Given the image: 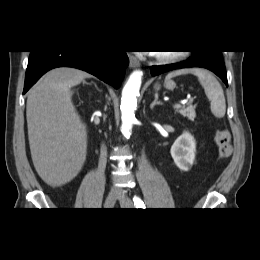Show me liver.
<instances>
[{
    "label": "liver",
    "instance_id": "1",
    "mask_svg": "<svg viewBox=\"0 0 260 260\" xmlns=\"http://www.w3.org/2000/svg\"><path fill=\"white\" fill-rule=\"evenodd\" d=\"M89 77L79 69L56 68L29 91L26 118L31 157L38 175L50 186L70 182L86 160V126L70 90Z\"/></svg>",
    "mask_w": 260,
    "mask_h": 260
}]
</instances>
